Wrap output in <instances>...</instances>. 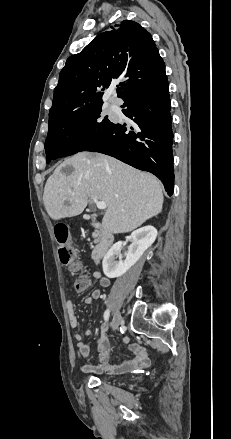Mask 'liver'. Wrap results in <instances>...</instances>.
I'll return each mask as SVG.
<instances>
[{
	"label": "liver",
	"mask_w": 231,
	"mask_h": 439,
	"mask_svg": "<svg viewBox=\"0 0 231 439\" xmlns=\"http://www.w3.org/2000/svg\"><path fill=\"white\" fill-rule=\"evenodd\" d=\"M68 171V172H66ZM107 205L102 220L110 233H128L162 210L157 177L100 153L80 152L67 158L48 178L43 202L53 220L81 214L89 198Z\"/></svg>",
	"instance_id": "1"
}]
</instances>
